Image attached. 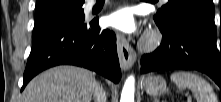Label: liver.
I'll use <instances>...</instances> for the list:
<instances>
[{"label":"liver","instance_id":"6515ba94","mask_svg":"<svg viewBox=\"0 0 221 102\" xmlns=\"http://www.w3.org/2000/svg\"><path fill=\"white\" fill-rule=\"evenodd\" d=\"M94 74L75 66H57L32 79L22 94L23 102H91Z\"/></svg>","mask_w":221,"mask_h":102}]
</instances>
